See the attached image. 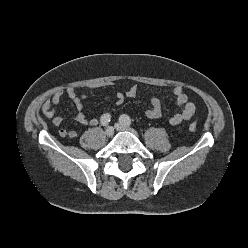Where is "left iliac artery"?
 Instances as JSON below:
<instances>
[{"instance_id":"left-iliac-artery-1","label":"left iliac artery","mask_w":248,"mask_h":248,"mask_svg":"<svg viewBox=\"0 0 248 248\" xmlns=\"http://www.w3.org/2000/svg\"><path fill=\"white\" fill-rule=\"evenodd\" d=\"M119 120L121 123L127 126H130L132 124L130 117L126 114L121 115Z\"/></svg>"}]
</instances>
